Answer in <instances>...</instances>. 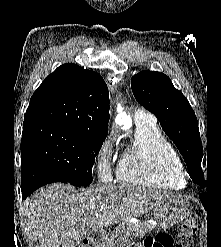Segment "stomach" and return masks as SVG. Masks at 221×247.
Instances as JSON below:
<instances>
[{"mask_svg":"<svg viewBox=\"0 0 221 247\" xmlns=\"http://www.w3.org/2000/svg\"><path fill=\"white\" fill-rule=\"evenodd\" d=\"M191 211L190 203L182 198L176 197L157 208L154 211L155 226L158 229H166L184 220Z\"/></svg>","mask_w":221,"mask_h":247,"instance_id":"stomach-1","label":"stomach"}]
</instances>
